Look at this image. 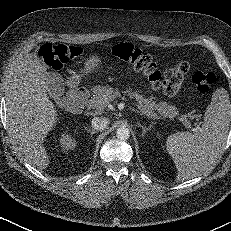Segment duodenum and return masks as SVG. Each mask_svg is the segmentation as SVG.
Returning a JSON list of instances; mask_svg holds the SVG:
<instances>
[{
	"label": "duodenum",
	"mask_w": 231,
	"mask_h": 231,
	"mask_svg": "<svg viewBox=\"0 0 231 231\" xmlns=\"http://www.w3.org/2000/svg\"><path fill=\"white\" fill-rule=\"evenodd\" d=\"M90 95V89L87 86H77L70 89L62 97V105L69 110L80 112Z\"/></svg>",
	"instance_id": "1"
}]
</instances>
